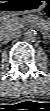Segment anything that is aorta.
Wrapping results in <instances>:
<instances>
[{
    "label": "aorta",
    "instance_id": "1",
    "mask_svg": "<svg viewBox=\"0 0 50 111\" xmlns=\"http://www.w3.org/2000/svg\"><path fill=\"white\" fill-rule=\"evenodd\" d=\"M37 33L35 30H27L24 33V39L28 42H34L36 40Z\"/></svg>",
    "mask_w": 50,
    "mask_h": 111
}]
</instances>
